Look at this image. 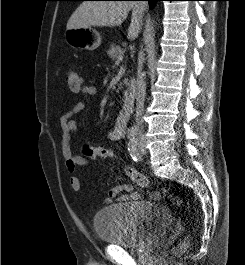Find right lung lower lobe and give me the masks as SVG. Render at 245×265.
<instances>
[{"mask_svg": "<svg viewBox=\"0 0 245 265\" xmlns=\"http://www.w3.org/2000/svg\"><path fill=\"white\" fill-rule=\"evenodd\" d=\"M127 1H149L150 7H153L156 1H161V0H127Z\"/></svg>", "mask_w": 245, "mask_h": 265, "instance_id": "1", "label": "right lung lower lobe"}]
</instances>
